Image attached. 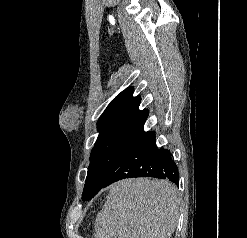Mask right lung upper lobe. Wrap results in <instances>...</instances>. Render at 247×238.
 Masks as SVG:
<instances>
[{
    "mask_svg": "<svg viewBox=\"0 0 247 238\" xmlns=\"http://www.w3.org/2000/svg\"><path fill=\"white\" fill-rule=\"evenodd\" d=\"M133 91L132 87H128L112 100L98 121V130L117 122L146 121L149 112L139 110L141 97H133Z\"/></svg>",
    "mask_w": 247,
    "mask_h": 238,
    "instance_id": "cb5924a9",
    "label": "right lung upper lobe"
}]
</instances>
